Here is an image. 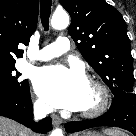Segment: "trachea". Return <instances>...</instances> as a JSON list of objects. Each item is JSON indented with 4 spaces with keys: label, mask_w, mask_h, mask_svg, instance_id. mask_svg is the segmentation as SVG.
Returning <instances> with one entry per match:
<instances>
[{
    "label": "trachea",
    "mask_w": 136,
    "mask_h": 136,
    "mask_svg": "<svg viewBox=\"0 0 136 136\" xmlns=\"http://www.w3.org/2000/svg\"><path fill=\"white\" fill-rule=\"evenodd\" d=\"M51 0H41L40 17L45 31L49 30V17L51 14Z\"/></svg>",
    "instance_id": "trachea-1"
}]
</instances>
